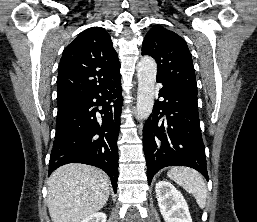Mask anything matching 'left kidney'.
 <instances>
[{"label":"left kidney","mask_w":257,"mask_h":222,"mask_svg":"<svg viewBox=\"0 0 257 222\" xmlns=\"http://www.w3.org/2000/svg\"><path fill=\"white\" fill-rule=\"evenodd\" d=\"M155 190L160 212L165 222H192L183 195L170 182L158 181Z\"/></svg>","instance_id":"obj_1"}]
</instances>
